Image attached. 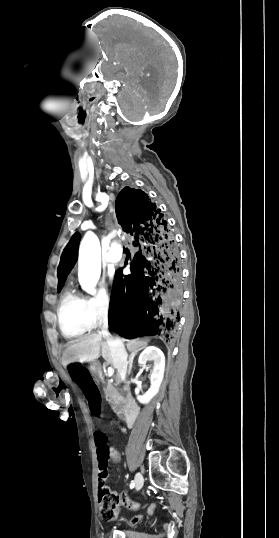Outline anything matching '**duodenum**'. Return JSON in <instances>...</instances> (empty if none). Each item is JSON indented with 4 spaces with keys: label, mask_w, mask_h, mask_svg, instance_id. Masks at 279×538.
<instances>
[{
    "label": "duodenum",
    "mask_w": 279,
    "mask_h": 538,
    "mask_svg": "<svg viewBox=\"0 0 279 538\" xmlns=\"http://www.w3.org/2000/svg\"><path fill=\"white\" fill-rule=\"evenodd\" d=\"M91 369L95 374H99L101 372V369L98 367V365L93 364L91 366ZM121 386H126V383H121ZM126 399L128 401H120V406H124V410H126V414H117V417H127L128 419L119 418V419H112V422H119L115 423V428L121 427L130 429L131 427H135L136 418H138V413H136V409H139V406L137 405V402L134 399V396L131 394V391H128V395L126 396ZM136 406V409H133V407ZM116 413H123V410H116ZM127 422V423H124Z\"/></svg>",
    "instance_id": "obj_1"
}]
</instances>
